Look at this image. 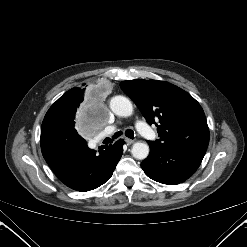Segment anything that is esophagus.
Instances as JSON below:
<instances>
[{"label": "esophagus", "instance_id": "obj_1", "mask_svg": "<svg viewBox=\"0 0 247 247\" xmlns=\"http://www.w3.org/2000/svg\"><path fill=\"white\" fill-rule=\"evenodd\" d=\"M125 142H126L127 145H131V144L134 143V140L129 139V138H125Z\"/></svg>", "mask_w": 247, "mask_h": 247}]
</instances>
